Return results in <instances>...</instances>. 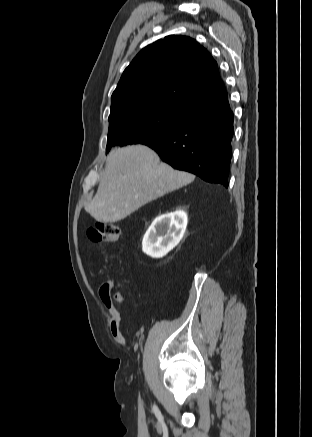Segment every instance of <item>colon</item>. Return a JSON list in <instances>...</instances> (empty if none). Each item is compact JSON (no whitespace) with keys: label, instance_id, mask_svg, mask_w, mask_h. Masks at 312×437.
Here are the masks:
<instances>
[{"label":"colon","instance_id":"1","mask_svg":"<svg viewBox=\"0 0 312 437\" xmlns=\"http://www.w3.org/2000/svg\"><path fill=\"white\" fill-rule=\"evenodd\" d=\"M120 228L109 222H97L87 231L90 240L95 242L114 243L120 238Z\"/></svg>","mask_w":312,"mask_h":437}]
</instances>
